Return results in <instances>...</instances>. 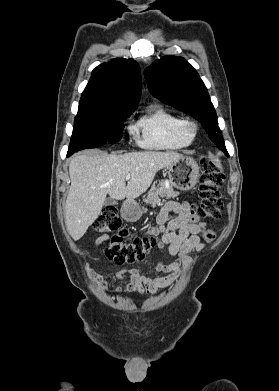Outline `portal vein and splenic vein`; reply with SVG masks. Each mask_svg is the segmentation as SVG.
Instances as JSON below:
<instances>
[{
  "mask_svg": "<svg viewBox=\"0 0 279 391\" xmlns=\"http://www.w3.org/2000/svg\"><path fill=\"white\" fill-rule=\"evenodd\" d=\"M129 179H130V175H127L126 180H129Z\"/></svg>",
  "mask_w": 279,
  "mask_h": 391,
  "instance_id": "1",
  "label": "portal vein and splenic vein"
}]
</instances>
